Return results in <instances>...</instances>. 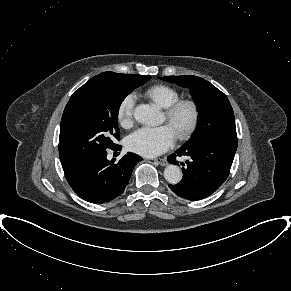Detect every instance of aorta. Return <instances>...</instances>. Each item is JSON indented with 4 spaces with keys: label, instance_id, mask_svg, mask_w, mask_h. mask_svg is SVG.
Here are the masks:
<instances>
[{
    "label": "aorta",
    "instance_id": "obj_1",
    "mask_svg": "<svg viewBox=\"0 0 291 291\" xmlns=\"http://www.w3.org/2000/svg\"><path fill=\"white\" fill-rule=\"evenodd\" d=\"M136 121L146 125H156L160 118L159 109L154 105L140 104L134 110ZM164 178L170 184H177L182 179V172L176 165H168L164 170Z\"/></svg>",
    "mask_w": 291,
    "mask_h": 291
}]
</instances>
